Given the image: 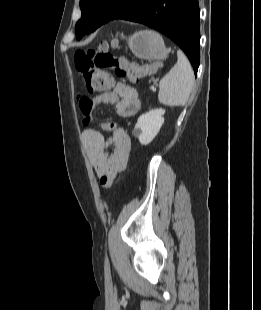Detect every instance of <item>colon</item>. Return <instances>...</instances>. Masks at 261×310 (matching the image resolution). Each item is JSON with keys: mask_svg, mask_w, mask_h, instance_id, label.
<instances>
[{"mask_svg": "<svg viewBox=\"0 0 261 310\" xmlns=\"http://www.w3.org/2000/svg\"><path fill=\"white\" fill-rule=\"evenodd\" d=\"M115 45V42L103 41L97 48L75 52V68L82 75L90 93L110 89L113 80L107 70L114 71L119 77H127L130 81L137 82L144 75L157 69V64L141 66L125 58L113 55L110 49Z\"/></svg>", "mask_w": 261, "mask_h": 310, "instance_id": "colon-1", "label": "colon"}]
</instances>
